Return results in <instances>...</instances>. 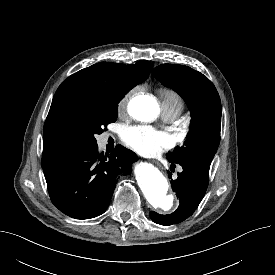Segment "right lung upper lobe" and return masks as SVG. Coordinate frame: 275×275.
I'll use <instances>...</instances> for the list:
<instances>
[{
	"label": "right lung upper lobe",
	"mask_w": 275,
	"mask_h": 275,
	"mask_svg": "<svg viewBox=\"0 0 275 275\" xmlns=\"http://www.w3.org/2000/svg\"><path fill=\"white\" fill-rule=\"evenodd\" d=\"M153 68L148 61L136 64L101 62L69 76L58 87L43 129L42 168L47 171L78 148L61 127L59 112L69 105L119 103Z\"/></svg>",
	"instance_id": "1"
}]
</instances>
